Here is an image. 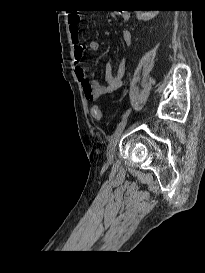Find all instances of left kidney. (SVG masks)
<instances>
[{"label": "left kidney", "instance_id": "left-kidney-1", "mask_svg": "<svg viewBox=\"0 0 205 273\" xmlns=\"http://www.w3.org/2000/svg\"><path fill=\"white\" fill-rule=\"evenodd\" d=\"M159 13V10H136L138 20L148 21L154 18Z\"/></svg>", "mask_w": 205, "mask_h": 273}]
</instances>
